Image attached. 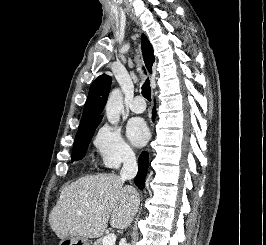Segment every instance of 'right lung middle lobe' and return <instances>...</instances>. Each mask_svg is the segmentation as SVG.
Wrapping results in <instances>:
<instances>
[{"mask_svg":"<svg viewBox=\"0 0 266 245\" xmlns=\"http://www.w3.org/2000/svg\"><path fill=\"white\" fill-rule=\"evenodd\" d=\"M100 121L101 119H97L90 123H86L79 126L73 145L71 156L72 161L80 160L85 156L88 144L90 143L95 129L100 123Z\"/></svg>","mask_w":266,"mask_h":245,"instance_id":"right-lung-middle-lobe-1","label":"right lung middle lobe"}]
</instances>
